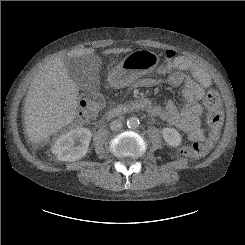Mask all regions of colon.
Segmentation results:
<instances>
[{
  "mask_svg": "<svg viewBox=\"0 0 245 245\" xmlns=\"http://www.w3.org/2000/svg\"><path fill=\"white\" fill-rule=\"evenodd\" d=\"M175 51H169L166 54L168 60H173L178 57ZM104 99L98 92L92 91L86 93L80 103L79 113L75 119V125L80 127L89 123L99 112ZM206 106L210 109V124L212 131L205 139L195 141L190 145L180 146L176 153L183 158H201L205 156L212 148L213 144L218 138L219 131L223 122V114L219 110L220 96L217 91L209 90L205 97Z\"/></svg>",
  "mask_w": 245,
  "mask_h": 245,
  "instance_id": "colon-1",
  "label": "colon"
}]
</instances>
